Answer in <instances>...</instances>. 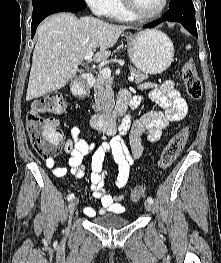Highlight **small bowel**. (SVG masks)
<instances>
[{
	"mask_svg": "<svg viewBox=\"0 0 221 263\" xmlns=\"http://www.w3.org/2000/svg\"><path fill=\"white\" fill-rule=\"evenodd\" d=\"M141 90L145 91L147 97L158 104L163 111H152L143 115L134 122L132 127L122 129L121 135L126 136L128 143L122 136H115L109 142L96 146L93 142H88L80 138L84 130H92L91 127L77 124L74 125L69 133L64 147L65 153L69 156V168L58 167L51 159L46 160L45 164L52 170L55 177L61 178L72 175L81 179L84 177L83 158L92 155L89 190L92 196L101 203L98 209L99 214L106 212L122 213L126 206L122 200L126 196V191L119 197H113L105 187V172L103 163L106 155L110 154L117 165L118 171L115 179V186L125 189L130 175L131 166L134 160L142 154L141 137L148 136L151 143L157 142L169 122L183 119L188 112V105L185 99L175 89L172 81H165L161 85L145 83L141 85ZM126 93H128L126 91ZM137 103L142 100V96L135 97ZM84 213L95 216L93 208L87 207Z\"/></svg>",
	"mask_w": 221,
	"mask_h": 263,
	"instance_id": "small-bowel-1",
	"label": "small bowel"
}]
</instances>
